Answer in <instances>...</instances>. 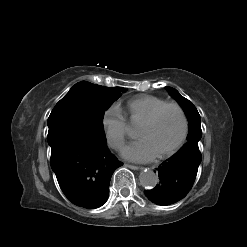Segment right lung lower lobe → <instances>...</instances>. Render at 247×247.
<instances>
[{
    "instance_id": "1",
    "label": "right lung lower lobe",
    "mask_w": 247,
    "mask_h": 247,
    "mask_svg": "<svg viewBox=\"0 0 247 247\" xmlns=\"http://www.w3.org/2000/svg\"><path fill=\"white\" fill-rule=\"evenodd\" d=\"M50 164L60 188L75 205L95 209L104 205L115 169L122 165L106 142L74 125L49 127Z\"/></svg>"
}]
</instances>
